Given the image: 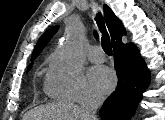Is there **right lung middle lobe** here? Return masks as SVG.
Masks as SVG:
<instances>
[{"label": "right lung middle lobe", "instance_id": "1", "mask_svg": "<svg viewBox=\"0 0 165 120\" xmlns=\"http://www.w3.org/2000/svg\"><path fill=\"white\" fill-rule=\"evenodd\" d=\"M31 67H32V64L28 67V70H30Z\"/></svg>", "mask_w": 165, "mask_h": 120}]
</instances>
